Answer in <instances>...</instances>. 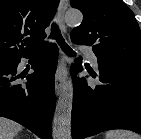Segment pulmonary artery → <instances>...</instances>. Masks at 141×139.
Listing matches in <instances>:
<instances>
[{
    "instance_id": "obj_1",
    "label": "pulmonary artery",
    "mask_w": 141,
    "mask_h": 139,
    "mask_svg": "<svg viewBox=\"0 0 141 139\" xmlns=\"http://www.w3.org/2000/svg\"><path fill=\"white\" fill-rule=\"evenodd\" d=\"M80 50L89 58L91 64L97 68L98 67V59H97L96 55L94 54L93 50L89 47H86V46H82L80 48Z\"/></svg>"
}]
</instances>
